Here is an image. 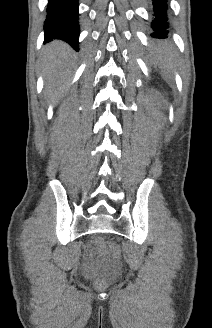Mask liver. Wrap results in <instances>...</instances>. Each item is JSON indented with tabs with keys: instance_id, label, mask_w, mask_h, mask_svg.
Here are the masks:
<instances>
[{
	"instance_id": "6515ba94",
	"label": "liver",
	"mask_w": 212,
	"mask_h": 328,
	"mask_svg": "<svg viewBox=\"0 0 212 328\" xmlns=\"http://www.w3.org/2000/svg\"><path fill=\"white\" fill-rule=\"evenodd\" d=\"M44 57L47 95L50 96L52 90L66 79V70L72 58L71 49L67 44L55 41L47 46Z\"/></svg>"
}]
</instances>
